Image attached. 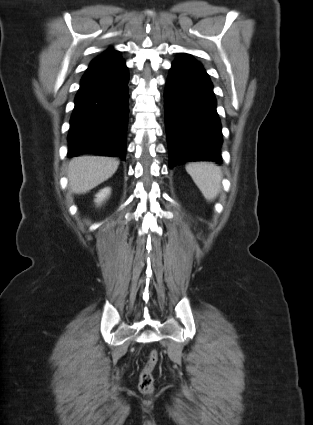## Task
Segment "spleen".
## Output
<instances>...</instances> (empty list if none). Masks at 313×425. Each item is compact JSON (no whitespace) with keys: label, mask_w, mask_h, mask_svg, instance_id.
<instances>
[{"label":"spleen","mask_w":313,"mask_h":425,"mask_svg":"<svg viewBox=\"0 0 313 425\" xmlns=\"http://www.w3.org/2000/svg\"><path fill=\"white\" fill-rule=\"evenodd\" d=\"M185 168L203 196L208 201L214 200L221 189V168L206 162L189 163Z\"/></svg>","instance_id":"spleen-1"}]
</instances>
